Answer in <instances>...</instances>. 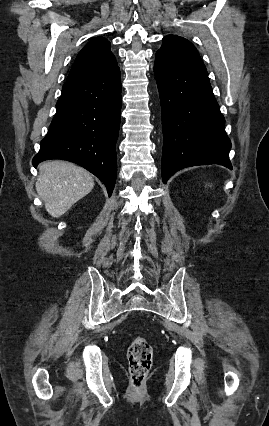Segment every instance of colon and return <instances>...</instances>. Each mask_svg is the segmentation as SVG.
Here are the masks:
<instances>
[{
	"mask_svg": "<svg viewBox=\"0 0 269 426\" xmlns=\"http://www.w3.org/2000/svg\"><path fill=\"white\" fill-rule=\"evenodd\" d=\"M128 361L133 386L140 389L151 371L153 362L152 347L146 338L139 336L132 341L128 350Z\"/></svg>",
	"mask_w": 269,
	"mask_h": 426,
	"instance_id": "1",
	"label": "colon"
}]
</instances>
